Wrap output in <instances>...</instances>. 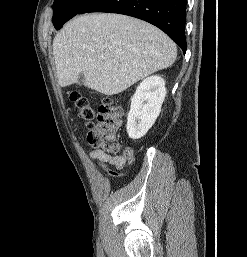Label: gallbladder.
I'll use <instances>...</instances> for the list:
<instances>
[{"instance_id":"obj_1","label":"gallbladder","mask_w":247,"mask_h":257,"mask_svg":"<svg viewBox=\"0 0 247 257\" xmlns=\"http://www.w3.org/2000/svg\"><path fill=\"white\" fill-rule=\"evenodd\" d=\"M84 80H85V77H84L83 73L79 74L77 84L79 86H82L84 84Z\"/></svg>"}]
</instances>
